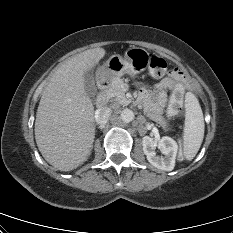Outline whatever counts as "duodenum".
<instances>
[{
	"label": "duodenum",
	"instance_id": "duodenum-1",
	"mask_svg": "<svg viewBox=\"0 0 233 233\" xmlns=\"http://www.w3.org/2000/svg\"><path fill=\"white\" fill-rule=\"evenodd\" d=\"M110 85V80L108 78H102L99 80L100 92L96 98V105L99 108L105 107L109 101V95L107 89Z\"/></svg>",
	"mask_w": 233,
	"mask_h": 233
}]
</instances>
